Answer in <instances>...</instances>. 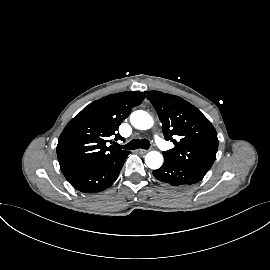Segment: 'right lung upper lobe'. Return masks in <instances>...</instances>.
<instances>
[{
	"instance_id": "1",
	"label": "right lung upper lobe",
	"mask_w": 270,
	"mask_h": 270,
	"mask_svg": "<svg viewBox=\"0 0 270 270\" xmlns=\"http://www.w3.org/2000/svg\"><path fill=\"white\" fill-rule=\"evenodd\" d=\"M145 98L142 92H120L108 95L86 106L61 133L57 157L64 176L130 153L106 146L111 137L123 139L116 133L131 109Z\"/></svg>"
}]
</instances>
